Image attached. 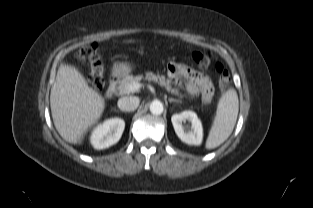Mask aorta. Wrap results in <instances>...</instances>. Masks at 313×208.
<instances>
[{
	"instance_id": "obj_1",
	"label": "aorta",
	"mask_w": 313,
	"mask_h": 208,
	"mask_svg": "<svg viewBox=\"0 0 313 208\" xmlns=\"http://www.w3.org/2000/svg\"><path fill=\"white\" fill-rule=\"evenodd\" d=\"M163 109V104L158 100H155L150 104V112L154 115L162 114Z\"/></svg>"
}]
</instances>
